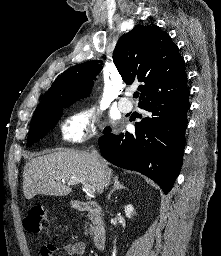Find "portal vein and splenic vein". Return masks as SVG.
Segmentation results:
<instances>
[{
	"label": "portal vein and splenic vein",
	"mask_w": 221,
	"mask_h": 256,
	"mask_svg": "<svg viewBox=\"0 0 221 256\" xmlns=\"http://www.w3.org/2000/svg\"><path fill=\"white\" fill-rule=\"evenodd\" d=\"M77 183H81L88 194H94L95 191H96L94 186H92V185H90V184H88L85 181L80 180V179H72V180L67 182L68 185H74V184H77Z\"/></svg>",
	"instance_id": "1"
}]
</instances>
